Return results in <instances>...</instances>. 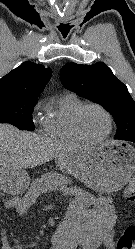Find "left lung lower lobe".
Masks as SVG:
<instances>
[{
  "label": "left lung lower lobe",
  "instance_id": "1",
  "mask_svg": "<svg viewBox=\"0 0 135 249\" xmlns=\"http://www.w3.org/2000/svg\"><path fill=\"white\" fill-rule=\"evenodd\" d=\"M128 141H131V142H134V143H135V139H131V140H128Z\"/></svg>",
  "mask_w": 135,
  "mask_h": 249
}]
</instances>
